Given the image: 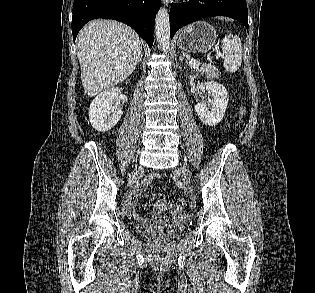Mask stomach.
Masks as SVG:
<instances>
[{
    "label": "stomach",
    "mask_w": 315,
    "mask_h": 293,
    "mask_svg": "<svg viewBox=\"0 0 315 293\" xmlns=\"http://www.w3.org/2000/svg\"><path fill=\"white\" fill-rule=\"evenodd\" d=\"M217 39L215 29L205 21H198L183 28L177 37V45L187 52L207 53Z\"/></svg>",
    "instance_id": "0dacf381"
}]
</instances>
